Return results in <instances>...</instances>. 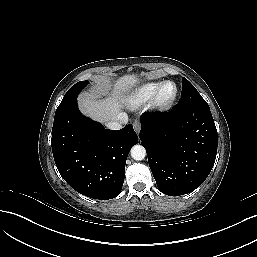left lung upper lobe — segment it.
<instances>
[{
  "instance_id": "5c2ea615",
  "label": "left lung upper lobe",
  "mask_w": 257,
  "mask_h": 257,
  "mask_svg": "<svg viewBox=\"0 0 257 257\" xmlns=\"http://www.w3.org/2000/svg\"><path fill=\"white\" fill-rule=\"evenodd\" d=\"M176 107L181 109L189 107L209 108L207 102L198 93L196 88L184 77L182 78L181 98Z\"/></svg>"
}]
</instances>
